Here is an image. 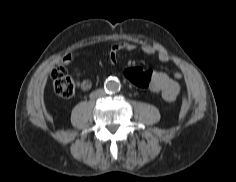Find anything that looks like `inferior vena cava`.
<instances>
[{
  "mask_svg": "<svg viewBox=\"0 0 236 182\" xmlns=\"http://www.w3.org/2000/svg\"><path fill=\"white\" fill-rule=\"evenodd\" d=\"M101 93H104V91L103 90H99Z\"/></svg>",
  "mask_w": 236,
  "mask_h": 182,
  "instance_id": "inferior-vena-cava-1",
  "label": "inferior vena cava"
}]
</instances>
